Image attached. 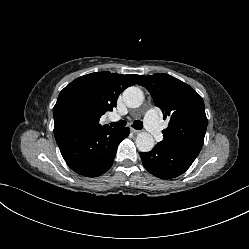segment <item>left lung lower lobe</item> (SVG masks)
Returning a JSON list of instances; mask_svg holds the SVG:
<instances>
[{
	"label": "left lung lower lobe",
	"instance_id": "obj_1",
	"mask_svg": "<svg viewBox=\"0 0 249 249\" xmlns=\"http://www.w3.org/2000/svg\"><path fill=\"white\" fill-rule=\"evenodd\" d=\"M198 154L189 149L159 144L150 152H140L146 170L161 179H171L183 174Z\"/></svg>",
	"mask_w": 249,
	"mask_h": 249
}]
</instances>
